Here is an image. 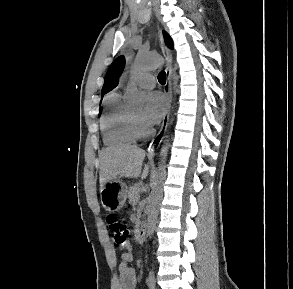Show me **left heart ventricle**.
<instances>
[{
	"label": "left heart ventricle",
	"mask_w": 293,
	"mask_h": 289,
	"mask_svg": "<svg viewBox=\"0 0 293 289\" xmlns=\"http://www.w3.org/2000/svg\"><path fill=\"white\" fill-rule=\"evenodd\" d=\"M133 114L142 121L143 114L141 110L134 111Z\"/></svg>",
	"instance_id": "obj_1"
}]
</instances>
